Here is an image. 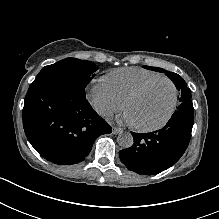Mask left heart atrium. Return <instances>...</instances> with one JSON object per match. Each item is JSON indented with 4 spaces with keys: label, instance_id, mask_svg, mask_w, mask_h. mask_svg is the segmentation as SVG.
Masks as SVG:
<instances>
[{
    "label": "left heart atrium",
    "instance_id": "left-heart-atrium-1",
    "mask_svg": "<svg viewBox=\"0 0 219 219\" xmlns=\"http://www.w3.org/2000/svg\"><path fill=\"white\" fill-rule=\"evenodd\" d=\"M121 120L125 121L128 124H135L132 115L126 111L121 117Z\"/></svg>",
    "mask_w": 219,
    "mask_h": 219
}]
</instances>
